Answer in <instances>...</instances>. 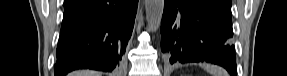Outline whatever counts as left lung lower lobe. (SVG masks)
<instances>
[{
  "label": "left lung lower lobe",
  "instance_id": "left-lung-lower-lobe-1",
  "mask_svg": "<svg viewBox=\"0 0 287 76\" xmlns=\"http://www.w3.org/2000/svg\"><path fill=\"white\" fill-rule=\"evenodd\" d=\"M231 16L205 0H165L161 50L171 64L212 62L237 74Z\"/></svg>",
  "mask_w": 287,
  "mask_h": 76
}]
</instances>
